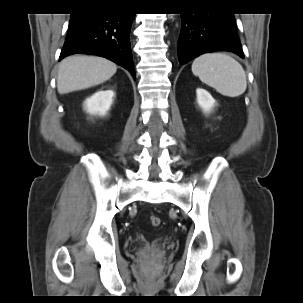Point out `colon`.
Instances as JSON below:
<instances>
[{
	"instance_id": "5ec220e1",
	"label": "colon",
	"mask_w": 303,
	"mask_h": 303,
	"mask_svg": "<svg viewBox=\"0 0 303 303\" xmlns=\"http://www.w3.org/2000/svg\"><path fill=\"white\" fill-rule=\"evenodd\" d=\"M149 222L152 226H159L161 223L160 217L156 215H151L149 217Z\"/></svg>"
}]
</instances>
